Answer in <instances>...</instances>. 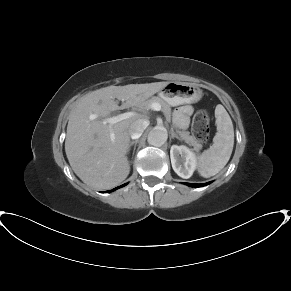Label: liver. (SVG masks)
<instances>
[{
    "label": "liver",
    "mask_w": 291,
    "mask_h": 291,
    "mask_svg": "<svg viewBox=\"0 0 291 291\" xmlns=\"http://www.w3.org/2000/svg\"><path fill=\"white\" fill-rule=\"evenodd\" d=\"M168 82L108 86L82 97L69 116L65 152L75 174L87 185L104 190L124 181L129 172L130 125L139 114L112 126L104 120L118 109L140 107ZM115 98L122 101L118 106ZM115 139L111 140L110 134Z\"/></svg>",
    "instance_id": "6515ba94"
}]
</instances>
